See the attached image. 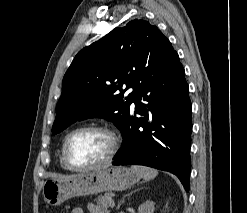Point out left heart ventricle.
<instances>
[{"mask_svg": "<svg viewBox=\"0 0 247 213\" xmlns=\"http://www.w3.org/2000/svg\"><path fill=\"white\" fill-rule=\"evenodd\" d=\"M111 146L109 136L100 131H83L72 136L68 155L77 166H88L102 161Z\"/></svg>", "mask_w": 247, "mask_h": 213, "instance_id": "1", "label": "left heart ventricle"}]
</instances>
